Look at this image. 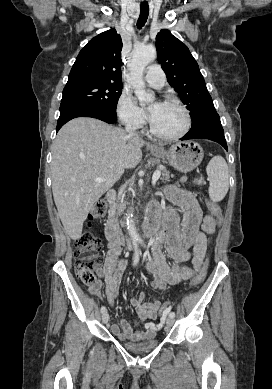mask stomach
I'll return each mask as SVG.
<instances>
[{
	"instance_id": "stomach-1",
	"label": "stomach",
	"mask_w": 272,
	"mask_h": 389,
	"mask_svg": "<svg viewBox=\"0 0 272 389\" xmlns=\"http://www.w3.org/2000/svg\"><path fill=\"white\" fill-rule=\"evenodd\" d=\"M152 155L166 159L176 170L187 173L195 169L202 161V147L194 141H183L172 145L169 149L163 146L150 149Z\"/></svg>"
}]
</instances>
